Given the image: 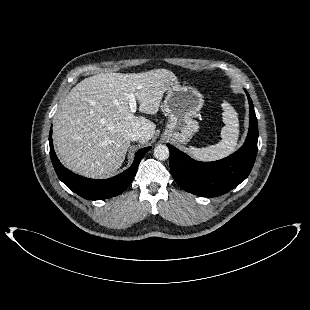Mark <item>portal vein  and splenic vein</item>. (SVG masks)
I'll return each mask as SVG.
<instances>
[{
    "label": "portal vein and splenic vein",
    "instance_id": "1",
    "mask_svg": "<svg viewBox=\"0 0 310 310\" xmlns=\"http://www.w3.org/2000/svg\"><path fill=\"white\" fill-rule=\"evenodd\" d=\"M129 107H130V111L132 113L136 112L137 109V103H136V98L135 95L133 93L129 94Z\"/></svg>",
    "mask_w": 310,
    "mask_h": 310
}]
</instances>
